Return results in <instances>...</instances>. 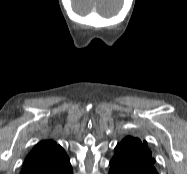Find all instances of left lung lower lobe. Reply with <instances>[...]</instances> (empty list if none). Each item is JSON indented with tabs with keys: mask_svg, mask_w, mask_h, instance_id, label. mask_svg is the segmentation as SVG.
I'll return each mask as SVG.
<instances>
[{
	"mask_svg": "<svg viewBox=\"0 0 187 174\" xmlns=\"http://www.w3.org/2000/svg\"><path fill=\"white\" fill-rule=\"evenodd\" d=\"M111 168L109 174H139L131 172L129 169L126 168L125 164L117 163V164H110ZM141 174H158L157 172H150L147 169H142Z\"/></svg>",
	"mask_w": 187,
	"mask_h": 174,
	"instance_id": "obj_1",
	"label": "left lung lower lobe"
}]
</instances>
